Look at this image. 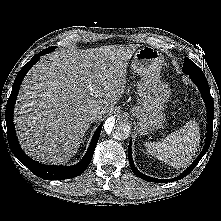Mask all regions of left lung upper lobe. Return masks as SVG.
<instances>
[{"label":"left lung upper lobe","instance_id":"left-lung-upper-lobe-1","mask_svg":"<svg viewBox=\"0 0 221 221\" xmlns=\"http://www.w3.org/2000/svg\"><path fill=\"white\" fill-rule=\"evenodd\" d=\"M182 71L186 74H204L202 70L187 57H185Z\"/></svg>","mask_w":221,"mask_h":221}]
</instances>
